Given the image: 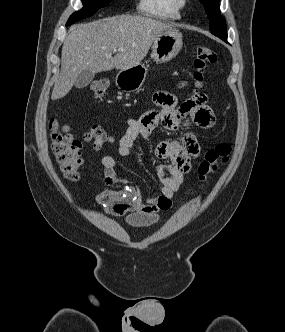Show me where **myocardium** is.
<instances>
[{"label": "myocardium", "mask_w": 285, "mask_h": 332, "mask_svg": "<svg viewBox=\"0 0 285 332\" xmlns=\"http://www.w3.org/2000/svg\"><path fill=\"white\" fill-rule=\"evenodd\" d=\"M188 0H173L174 5L176 8L179 10L183 9L186 7Z\"/></svg>", "instance_id": "f54148a6"}]
</instances>
